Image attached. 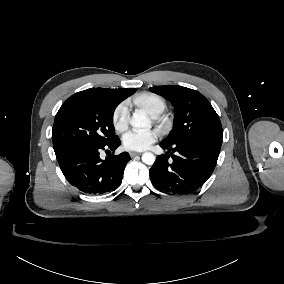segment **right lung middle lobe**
Wrapping results in <instances>:
<instances>
[{
    "label": "right lung middle lobe",
    "mask_w": 284,
    "mask_h": 284,
    "mask_svg": "<svg viewBox=\"0 0 284 284\" xmlns=\"http://www.w3.org/2000/svg\"><path fill=\"white\" fill-rule=\"evenodd\" d=\"M117 105L94 89L69 97L55 116L52 131L55 153L79 145H105L117 138L112 124Z\"/></svg>",
    "instance_id": "obj_1"
}]
</instances>
